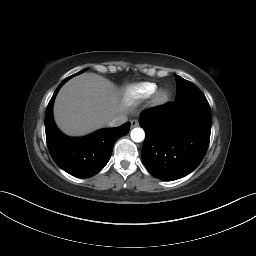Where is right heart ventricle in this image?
I'll list each match as a JSON object with an SVG mask.
<instances>
[{
	"label": "right heart ventricle",
	"mask_w": 256,
	"mask_h": 256,
	"mask_svg": "<svg viewBox=\"0 0 256 256\" xmlns=\"http://www.w3.org/2000/svg\"><path fill=\"white\" fill-rule=\"evenodd\" d=\"M157 90L155 83L144 82L129 86L124 93L127 102H135L147 98L154 94Z\"/></svg>",
	"instance_id": "right-heart-ventricle-1"
}]
</instances>
